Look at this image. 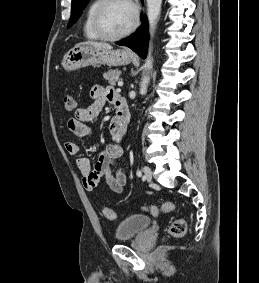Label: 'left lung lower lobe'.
Returning <instances> with one entry per match:
<instances>
[{
    "label": "left lung lower lobe",
    "mask_w": 259,
    "mask_h": 283,
    "mask_svg": "<svg viewBox=\"0 0 259 283\" xmlns=\"http://www.w3.org/2000/svg\"><path fill=\"white\" fill-rule=\"evenodd\" d=\"M148 23L145 16H143L142 26L128 38L117 42L118 45L127 46L136 52L140 57L145 58L147 52L148 41Z\"/></svg>",
    "instance_id": "obj_1"
}]
</instances>
